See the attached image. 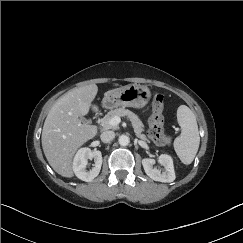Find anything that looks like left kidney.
I'll use <instances>...</instances> for the list:
<instances>
[{
	"mask_svg": "<svg viewBox=\"0 0 243 243\" xmlns=\"http://www.w3.org/2000/svg\"><path fill=\"white\" fill-rule=\"evenodd\" d=\"M158 162L160 165L164 166L165 172H162L154 168V159L145 158L142 160V165L145 173L153 180L159 182L170 183L175 180V172L172 157L167 154H161L159 156Z\"/></svg>",
	"mask_w": 243,
	"mask_h": 243,
	"instance_id": "1",
	"label": "left kidney"
}]
</instances>
